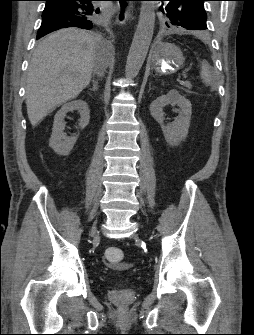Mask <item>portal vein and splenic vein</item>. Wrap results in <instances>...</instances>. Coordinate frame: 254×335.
<instances>
[{
	"instance_id": "portal-vein-and-splenic-vein-1",
	"label": "portal vein and splenic vein",
	"mask_w": 254,
	"mask_h": 335,
	"mask_svg": "<svg viewBox=\"0 0 254 335\" xmlns=\"http://www.w3.org/2000/svg\"><path fill=\"white\" fill-rule=\"evenodd\" d=\"M183 77H184V78H186V77H187V75H186V74H184V75H183Z\"/></svg>"
}]
</instances>
